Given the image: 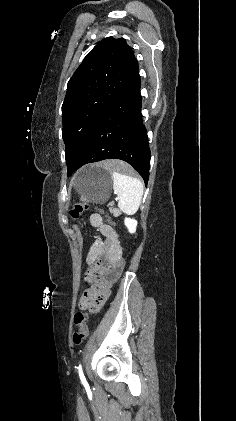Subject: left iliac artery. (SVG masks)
I'll return each instance as SVG.
<instances>
[{
    "label": "left iliac artery",
    "instance_id": "44dca946",
    "mask_svg": "<svg viewBox=\"0 0 236 421\" xmlns=\"http://www.w3.org/2000/svg\"><path fill=\"white\" fill-rule=\"evenodd\" d=\"M78 370H79V376H80V378H83V377H84V374H83V372H82V367H81V365H79Z\"/></svg>",
    "mask_w": 236,
    "mask_h": 421
}]
</instances>
